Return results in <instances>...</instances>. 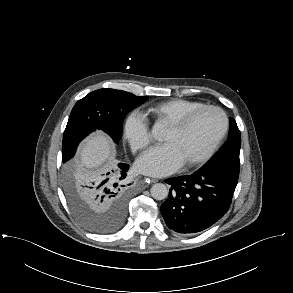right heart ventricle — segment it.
<instances>
[{
	"label": "right heart ventricle",
	"instance_id": "obj_1",
	"mask_svg": "<svg viewBox=\"0 0 293 293\" xmlns=\"http://www.w3.org/2000/svg\"><path fill=\"white\" fill-rule=\"evenodd\" d=\"M205 104L199 101L186 99H171L149 107L145 114L150 115L156 121L164 122L167 126L179 120L187 113L198 109Z\"/></svg>",
	"mask_w": 293,
	"mask_h": 293
}]
</instances>
